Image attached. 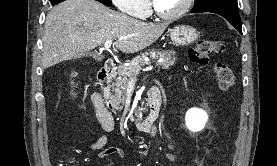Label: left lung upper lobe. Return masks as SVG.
<instances>
[{"mask_svg": "<svg viewBox=\"0 0 277 166\" xmlns=\"http://www.w3.org/2000/svg\"><path fill=\"white\" fill-rule=\"evenodd\" d=\"M211 10H226L238 12L236 0H195L191 13L205 12Z\"/></svg>", "mask_w": 277, "mask_h": 166, "instance_id": "1", "label": "left lung upper lobe"}]
</instances>
